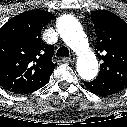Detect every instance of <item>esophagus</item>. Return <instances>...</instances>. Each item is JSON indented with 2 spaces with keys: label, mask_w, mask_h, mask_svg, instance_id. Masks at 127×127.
Segmentation results:
<instances>
[{
  "label": "esophagus",
  "mask_w": 127,
  "mask_h": 127,
  "mask_svg": "<svg viewBox=\"0 0 127 127\" xmlns=\"http://www.w3.org/2000/svg\"><path fill=\"white\" fill-rule=\"evenodd\" d=\"M62 61L67 62V63L74 62L75 61V56L72 55L70 57H64V58H62Z\"/></svg>",
  "instance_id": "obj_1"
}]
</instances>
